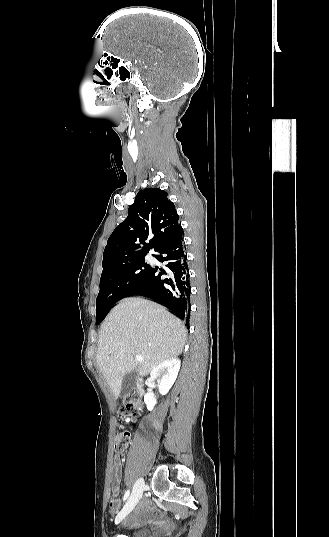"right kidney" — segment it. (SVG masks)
<instances>
[{
	"label": "right kidney",
	"mask_w": 329,
	"mask_h": 537,
	"mask_svg": "<svg viewBox=\"0 0 329 537\" xmlns=\"http://www.w3.org/2000/svg\"><path fill=\"white\" fill-rule=\"evenodd\" d=\"M180 370V360L178 358L168 359L157 365L150 373L152 380L158 381L159 392L162 395L168 393L174 384ZM144 402L149 411H152L157 403L153 394L147 393Z\"/></svg>",
	"instance_id": "right-kidney-1"
}]
</instances>
